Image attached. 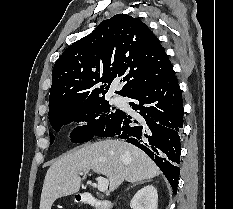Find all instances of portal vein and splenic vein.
Returning a JSON list of instances; mask_svg holds the SVG:
<instances>
[{
  "label": "portal vein and splenic vein",
  "mask_w": 233,
  "mask_h": 209,
  "mask_svg": "<svg viewBox=\"0 0 233 209\" xmlns=\"http://www.w3.org/2000/svg\"><path fill=\"white\" fill-rule=\"evenodd\" d=\"M80 175H83V173L81 172ZM96 180L98 182V190L100 192H106L108 190V185H109L108 179L103 177H98L96 178Z\"/></svg>",
  "instance_id": "portal-vein-and-splenic-vein-1"
}]
</instances>
